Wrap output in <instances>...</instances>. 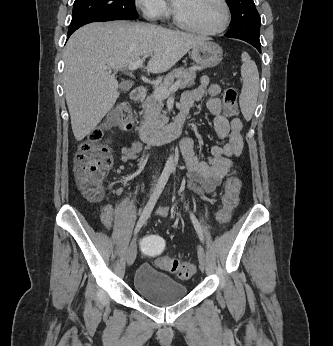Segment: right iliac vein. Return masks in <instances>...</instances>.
Returning a JSON list of instances; mask_svg holds the SVG:
<instances>
[{
    "mask_svg": "<svg viewBox=\"0 0 333 346\" xmlns=\"http://www.w3.org/2000/svg\"><path fill=\"white\" fill-rule=\"evenodd\" d=\"M154 191V184L151 186L150 191H149V196L152 195V192ZM137 256V244H136V239L134 238L127 250V254H126V261L127 264L130 266L134 263L135 259Z\"/></svg>",
    "mask_w": 333,
    "mask_h": 346,
    "instance_id": "63e3f726",
    "label": "right iliac vein"
}]
</instances>
